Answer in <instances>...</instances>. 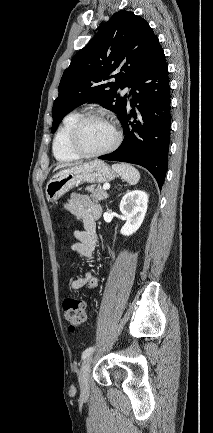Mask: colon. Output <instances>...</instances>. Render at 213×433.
Wrapping results in <instances>:
<instances>
[{
    "mask_svg": "<svg viewBox=\"0 0 213 433\" xmlns=\"http://www.w3.org/2000/svg\"><path fill=\"white\" fill-rule=\"evenodd\" d=\"M63 310L70 331H74L86 322L85 302L81 297L73 294L66 296L63 301Z\"/></svg>",
    "mask_w": 213,
    "mask_h": 433,
    "instance_id": "1",
    "label": "colon"
}]
</instances>
